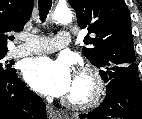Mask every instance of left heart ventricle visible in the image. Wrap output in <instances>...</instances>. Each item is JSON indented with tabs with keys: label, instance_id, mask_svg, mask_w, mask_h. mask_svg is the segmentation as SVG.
I'll use <instances>...</instances> for the list:
<instances>
[{
	"label": "left heart ventricle",
	"instance_id": "b2bd125f",
	"mask_svg": "<svg viewBox=\"0 0 142 119\" xmlns=\"http://www.w3.org/2000/svg\"><path fill=\"white\" fill-rule=\"evenodd\" d=\"M88 90V84L85 80L74 78L73 86L67 96L74 98H82L85 96Z\"/></svg>",
	"mask_w": 142,
	"mask_h": 119
}]
</instances>
